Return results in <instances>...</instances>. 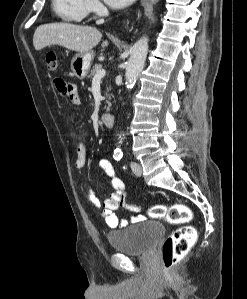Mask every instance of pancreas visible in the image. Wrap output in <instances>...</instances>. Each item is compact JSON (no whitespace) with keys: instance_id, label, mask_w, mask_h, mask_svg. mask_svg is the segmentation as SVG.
<instances>
[{"instance_id":"obj_1","label":"pancreas","mask_w":247,"mask_h":299,"mask_svg":"<svg viewBox=\"0 0 247 299\" xmlns=\"http://www.w3.org/2000/svg\"><path fill=\"white\" fill-rule=\"evenodd\" d=\"M102 69V65L101 64H96V65H94V67H93V69L90 71V74H89V78H91V77H94L96 74H97V72L99 71V70H101ZM109 91V89L107 88V92ZM106 96L107 97H110L109 96V94L108 93H106ZM110 106H111V104H110V102H108V107H105V109L108 111L109 110V108H110Z\"/></svg>"}]
</instances>
